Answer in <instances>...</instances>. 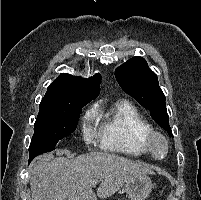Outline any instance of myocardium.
I'll return each instance as SVG.
<instances>
[{
	"instance_id": "f54148a6",
	"label": "myocardium",
	"mask_w": 201,
	"mask_h": 200,
	"mask_svg": "<svg viewBox=\"0 0 201 200\" xmlns=\"http://www.w3.org/2000/svg\"><path fill=\"white\" fill-rule=\"evenodd\" d=\"M157 140H161L165 146V153L162 156H157L155 154L154 144ZM147 146H148L149 154H151L152 157L157 160L164 159L169 153V141L167 137L159 131L152 130L149 132L147 136Z\"/></svg>"
}]
</instances>
